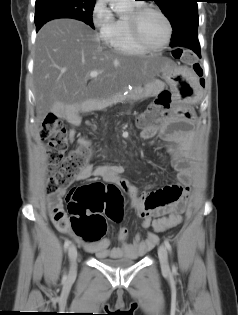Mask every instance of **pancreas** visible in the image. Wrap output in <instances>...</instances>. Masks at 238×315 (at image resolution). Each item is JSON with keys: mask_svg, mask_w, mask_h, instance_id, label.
Instances as JSON below:
<instances>
[{"mask_svg": "<svg viewBox=\"0 0 238 315\" xmlns=\"http://www.w3.org/2000/svg\"><path fill=\"white\" fill-rule=\"evenodd\" d=\"M145 97L144 95V89L141 87H136L132 91L129 92L127 96H120V97H113L109 101H107V104H116L122 100L126 101H137L140 99H143Z\"/></svg>", "mask_w": 238, "mask_h": 315, "instance_id": "pancreas-1", "label": "pancreas"}]
</instances>
